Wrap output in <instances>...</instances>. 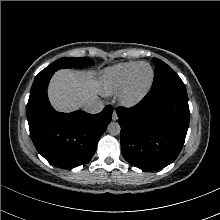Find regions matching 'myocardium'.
Wrapping results in <instances>:
<instances>
[{
	"label": "myocardium",
	"mask_w": 220,
	"mask_h": 220,
	"mask_svg": "<svg viewBox=\"0 0 220 220\" xmlns=\"http://www.w3.org/2000/svg\"><path fill=\"white\" fill-rule=\"evenodd\" d=\"M143 65L149 67L150 77L144 85L137 86L135 83V76H136L137 70ZM153 81H154V70L151 67V65L145 62L138 63L136 67L133 69V71L131 72L124 89L121 91L122 103L129 107L139 104L150 91Z\"/></svg>",
	"instance_id": "obj_1"
}]
</instances>
